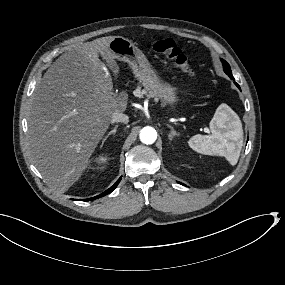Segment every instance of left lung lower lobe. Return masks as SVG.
<instances>
[{
	"label": "left lung lower lobe",
	"mask_w": 285,
	"mask_h": 285,
	"mask_svg": "<svg viewBox=\"0 0 285 285\" xmlns=\"http://www.w3.org/2000/svg\"><path fill=\"white\" fill-rule=\"evenodd\" d=\"M231 79H233L234 80V78L232 77ZM235 84H236V86L240 89V87H239V85L235 82ZM180 184H182V183H180ZM182 185H184V184H182Z\"/></svg>",
	"instance_id": "obj_1"
}]
</instances>
